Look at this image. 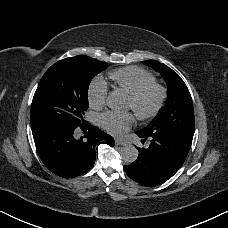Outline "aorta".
<instances>
[{"instance_id": "1", "label": "aorta", "mask_w": 228, "mask_h": 228, "mask_svg": "<svg viewBox=\"0 0 228 228\" xmlns=\"http://www.w3.org/2000/svg\"><path fill=\"white\" fill-rule=\"evenodd\" d=\"M107 105L114 110H123L126 107V98L119 91H112L107 97ZM121 158L127 164H131L136 161L138 157V150L132 144H125L120 150Z\"/></svg>"}]
</instances>
